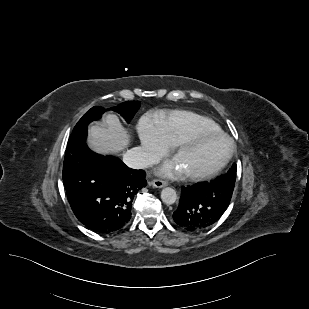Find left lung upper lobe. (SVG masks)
<instances>
[{
	"mask_svg": "<svg viewBox=\"0 0 309 309\" xmlns=\"http://www.w3.org/2000/svg\"><path fill=\"white\" fill-rule=\"evenodd\" d=\"M236 172H237V165L234 163L232 167L229 169V171L225 175L217 178L215 182L222 185L235 186Z\"/></svg>",
	"mask_w": 309,
	"mask_h": 309,
	"instance_id": "obj_1",
	"label": "left lung upper lobe"
}]
</instances>
